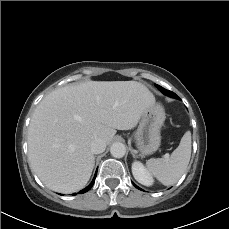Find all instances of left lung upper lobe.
I'll list each match as a JSON object with an SVG mask.
<instances>
[{"mask_svg": "<svg viewBox=\"0 0 229 229\" xmlns=\"http://www.w3.org/2000/svg\"><path fill=\"white\" fill-rule=\"evenodd\" d=\"M157 86V88L162 92V93H164L165 95H168V96H170L171 95V91H169V90H166V89H164L163 87H161V86H159V85H156Z\"/></svg>", "mask_w": 229, "mask_h": 229, "instance_id": "obj_1", "label": "left lung upper lobe"}]
</instances>
